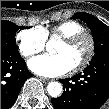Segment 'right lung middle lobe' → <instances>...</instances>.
Returning a JSON list of instances; mask_svg holds the SVG:
<instances>
[{"mask_svg": "<svg viewBox=\"0 0 109 109\" xmlns=\"http://www.w3.org/2000/svg\"><path fill=\"white\" fill-rule=\"evenodd\" d=\"M10 21L1 20V50L7 52H18L15 35L19 29H24Z\"/></svg>", "mask_w": 109, "mask_h": 109, "instance_id": "right-lung-middle-lobe-1", "label": "right lung middle lobe"}]
</instances>
